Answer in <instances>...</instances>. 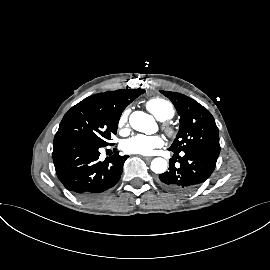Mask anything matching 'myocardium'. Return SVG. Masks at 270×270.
Returning <instances> with one entry per match:
<instances>
[{
	"label": "myocardium",
	"mask_w": 270,
	"mask_h": 270,
	"mask_svg": "<svg viewBox=\"0 0 270 270\" xmlns=\"http://www.w3.org/2000/svg\"><path fill=\"white\" fill-rule=\"evenodd\" d=\"M164 130L166 131V133L170 136H173L175 134V129L173 126L169 125V124H165L163 126Z\"/></svg>",
	"instance_id": "f54148a6"
}]
</instances>
